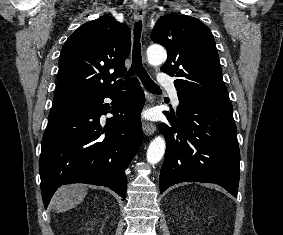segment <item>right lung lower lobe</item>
Listing matches in <instances>:
<instances>
[{
    "label": "right lung lower lobe",
    "instance_id": "1",
    "mask_svg": "<svg viewBox=\"0 0 283 235\" xmlns=\"http://www.w3.org/2000/svg\"><path fill=\"white\" fill-rule=\"evenodd\" d=\"M118 91L92 95L68 116L48 123L39 160L45 208L56 189L69 183L106 186L125 198L124 172L141 144L145 97L136 79L122 95ZM107 97L114 100L112 107L104 103ZM109 109L114 117L104 126L100 117Z\"/></svg>",
    "mask_w": 283,
    "mask_h": 235
}]
</instances>
